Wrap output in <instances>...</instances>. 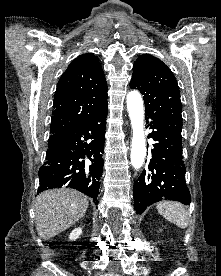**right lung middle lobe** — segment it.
Listing matches in <instances>:
<instances>
[{
	"mask_svg": "<svg viewBox=\"0 0 221 276\" xmlns=\"http://www.w3.org/2000/svg\"><path fill=\"white\" fill-rule=\"evenodd\" d=\"M58 140L59 138H49L48 146L54 145Z\"/></svg>",
	"mask_w": 221,
	"mask_h": 276,
	"instance_id": "1",
	"label": "right lung middle lobe"
}]
</instances>
